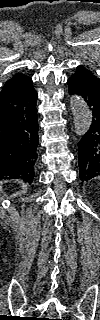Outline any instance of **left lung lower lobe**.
I'll list each match as a JSON object with an SVG mask.
<instances>
[{
  "instance_id": "left-lung-lower-lobe-1",
  "label": "left lung lower lobe",
  "mask_w": 100,
  "mask_h": 320,
  "mask_svg": "<svg viewBox=\"0 0 100 320\" xmlns=\"http://www.w3.org/2000/svg\"><path fill=\"white\" fill-rule=\"evenodd\" d=\"M69 94L81 96L93 119L78 143L80 178L87 181L100 175V82L77 68L68 79Z\"/></svg>"
}]
</instances>
